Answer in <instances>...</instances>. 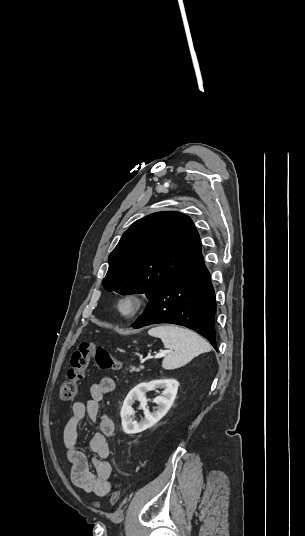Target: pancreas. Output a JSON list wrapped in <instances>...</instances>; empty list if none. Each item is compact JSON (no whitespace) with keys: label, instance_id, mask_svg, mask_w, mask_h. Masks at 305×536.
Segmentation results:
<instances>
[{"label":"pancreas","instance_id":"cf45deb5","mask_svg":"<svg viewBox=\"0 0 305 536\" xmlns=\"http://www.w3.org/2000/svg\"><path fill=\"white\" fill-rule=\"evenodd\" d=\"M129 368H131L129 372H141V370H143L142 366H140V368H134V366H129Z\"/></svg>","mask_w":305,"mask_h":536}]
</instances>
